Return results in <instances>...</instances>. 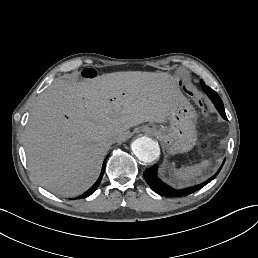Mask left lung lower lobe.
<instances>
[{
	"mask_svg": "<svg viewBox=\"0 0 258 258\" xmlns=\"http://www.w3.org/2000/svg\"><path fill=\"white\" fill-rule=\"evenodd\" d=\"M201 86H202L204 92L211 99V101L215 105L216 109L221 114V116L227 120L224 105H223V102H222L221 98L219 97V95L214 90H212L210 87L206 86L203 81H201ZM224 162H225V160L223 161V164H224ZM223 164L221 165L219 170L216 172V174L214 176H212L211 178H209L204 183L193 186V187L181 189V190H175V189L171 188L170 186L166 185L165 183H163L157 177V166L156 165L145 170L144 178H145L146 182L148 183V185L151 187V189L160 195L175 196V197L186 196V195H189V194L201 189L206 184H208L210 181H212L220 172Z\"/></svg>",
	"mask_w": 258,
	"mask_h": 258,
	"instance_id": "left-lung-lower-lobe-1",
	"label": "left lung lower lobe"
}]
</instances>
